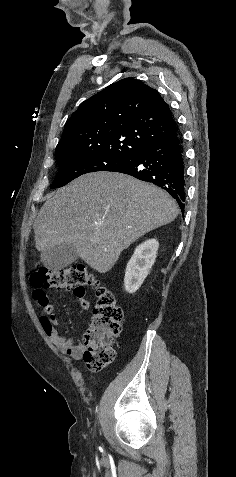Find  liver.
Listing matches in <instances>:
<instances>
[{"label": "liver", "mask_w": 236, "mask_h": 477, "mask_svg": "<svg viewBox=\"0 0 236 477\" xmlns=\"http://www.w3.org/2000/svg\"><path fill=\"white\" fill-rule=\"evenodd\" d=\"M175 201L162 189L122 173L83 175L58 189L34 221L36 248L70 243L78 256L106 273L144 234L172 222Z\"/></svg>", "instance_id": "obj_1"}]
</instances>
